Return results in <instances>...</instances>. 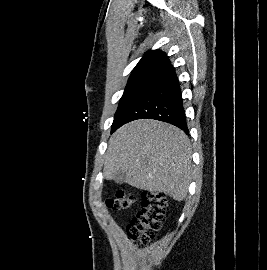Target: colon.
Wrapping results in <instances>:
<instances>
[{"mask_svg":"<svg viewBox=\"0 0 267 270\" xmlns=\"http://www.w3.org/2000/svg\"><path fill=\"white\" fill-rule=\"evenodd\" d=\"M136 198L123 191H117L106 200L110 209L116 211L129 210ZM166 197L162 193L146 192L142 197V208L129 222L126 228L130 240L139 244L149 243L162 227L166 211Z\"/></svg>","mask_w":267,"mask_h":270,"instance_id":"1","label":"colon"}]
</instances>
